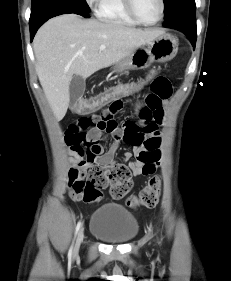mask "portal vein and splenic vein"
<instances>
[{"mask_svg":"<svg viewBox=\"0 0 231 281\" xmlns=\"http://www.w3.org/2000/svg\"><path fill=\"white\" fill-rule=\"evenodd\" d=\"M105 48H106L105 45H101L99 49H100V51H103Z\"/></svg>","mask_w":231,"mask_h":281,"instance_id":"obj_1","label":"portal vein and splenic vein"}]
</instances>
